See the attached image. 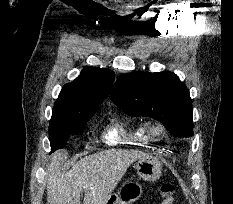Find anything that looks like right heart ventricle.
I'll return each instance as SVG.
<instances>
[{
  "label": "right heart ventricle",
  "instance_id": "1",
  "mask_svg": "<svg viewBox=\"0 0 233 204\" xmlns=\"http://www.w3.org/2000/svg\"><path fill=\"white\" fill-rule=\"evenodd\" d=\"M102 139L109 145L147 144L151 138L140 124H130L121 118L113 119L104 129Z\"/></svg>",
  "mask_w": 233,
  "mask_h": 204
}]
</instances>
